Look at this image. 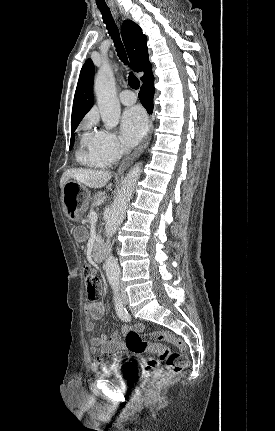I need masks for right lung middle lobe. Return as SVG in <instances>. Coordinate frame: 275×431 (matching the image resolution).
<instances>
[{"mask_svg": "<svg viewBox=\"0 0 275 431\" xmlns=\"http://www.w3.org/2000/svg\"><path fill=\"white\" fill-rule=\"evenodd\" d=\"M76 128H77V126L76 127H72L71 128V133H72V136H71V141H70V149L72 148V146H73V144H74V137H73V134H74V131L76 130Z\"/></svg>", "mask_w": 275, "mask_h": 431, "instance_id": "right-lung-middle-lobe-1", "label": "right lung middle lobe"}]
</instances>
